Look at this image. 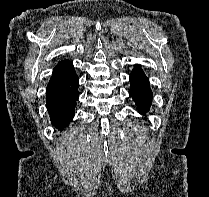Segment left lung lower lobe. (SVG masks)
<instances>
[{
    "label": "left lung lower lobe",
    "instance_id": "left-lung-lower-lobe-1",
    "mask_svg": "<svg viewBox=\"0 0 209 197\" xmlns=\"http://www.w3.org/2000/svg\"><path fill=\"white\" fill-rule=\"evenodd\" d=\"M130 91L129 94L137 105V109L141 114L149 111L152 103V91L149 87L148 78L142 69L135 67L130 75Z\"/></svg>",
    "mask_w": 209,
    "mask_h": 197
}]
</instances>
